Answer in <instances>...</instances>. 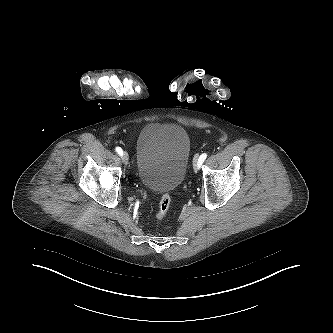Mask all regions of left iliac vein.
Wrapping results in <instances>:
<instances>
[{
	"label": "left iliac vein",
	"instance_id": "obj_1",
	"mask_svg": "<svg viewBox=\"0 0 333 333\" xmlns=\"http://www.w3.org/2000/svg\"><path fill=\"white\" fill-rule=\"evenodd\" d=\"M193 166L194 169L197 170L199 168V163H198V157L195 156L194 160H193Z\"/></svg>",
	"mask_w": 333,
	"mask_h": 333
}]
</instances>
